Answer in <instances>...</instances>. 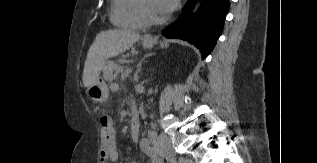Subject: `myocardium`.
Returning <instances> with one entry per match:
<instances>
[{"label":"myocardium","instance_id":"f54148a6","mask_svg":"<svg viewBox=\"0 0 317 163\" xmlns=\"http://www.w3.org/2000/svg\"><path fill=\"white\" fill-rule=\"evenodd\" d=\"M140 10L144 17V19L147 21V23L150 24H162L167 21L168 17H156L152 14L150 9L148 8L145 0H140Z\"/></svg>","mask_w":317,"mask_h":163}]
</instances>
